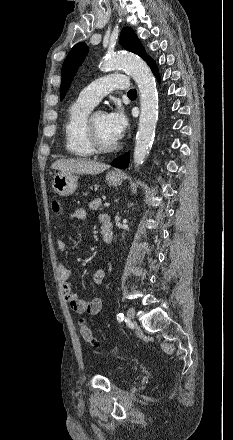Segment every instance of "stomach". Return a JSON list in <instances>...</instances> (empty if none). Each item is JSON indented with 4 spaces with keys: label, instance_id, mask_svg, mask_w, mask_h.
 <instances>
[{
    "label": "stomach",
    "instance_id": "0dacf381",
    "mask_svg": "<svg viewBox=\"0 0 233 440\" xmlns=\"http://www.w3.org/2000/svg\"><path fill=\"white\" fill-rule=\"evenodd\" d=\"M123 176L116 171L106 174V182L110 186H119ZM78 176L74 173L58 172L53 176L52 187L61 196H69L77 189Z\"/></svg>",
    "mask_w": 233,
    "mask_h": 440
}]
</instances>
